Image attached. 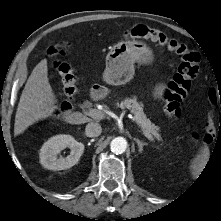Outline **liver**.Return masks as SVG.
Wrapping results in <instances>:
<instances>
[{"instance_id":"liver-1","label":"liver","mask_w":221,"mask_h":221,"mask_svg":"<svg viewBox=\"0 0 221 221\" xmlns=\"http://www.w3.org/2000/svg\"><path fill=\"white\" fill-rule=\"evenodd\" d=\"M48 79L47 60H41L33 69L22 91L15 116L14 134L23 133L35 122L53 115L58 107ZM63 119L70 124H84L92 120L80 112L66 114Z\"/></svg>"}]
</instances>
